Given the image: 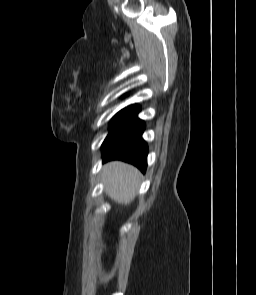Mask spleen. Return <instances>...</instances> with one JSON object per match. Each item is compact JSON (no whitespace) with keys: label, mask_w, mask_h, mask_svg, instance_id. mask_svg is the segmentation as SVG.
<instances>
[{"label":"spleen","mask_w":256,"mask_h":295,"mask_svg":"<svg viewBox=\"0 0 256 295\" xmlns=\"http://www.w3.org/2000/svg\"><path fill=\"white\" fill-rule=\"evenodd\" d=\"M103 171L109 197L118 203H130L139 185V171L121 162L109 163Z\"/></svg>","instance_id":"1"}]
</instances>
